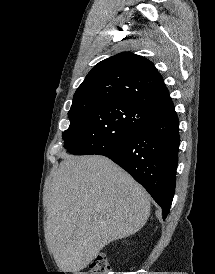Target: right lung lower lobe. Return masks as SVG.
I'll return each mask as SVG.
<instances>
[{
    "label": "right lung lower lobe",
    "instance_id": "1",
    "mask_svg": "<svg viewBox=\"0 0 215 274\" xmlns=\"http://www.w3.org/2000/svg\"><path fill=\"white\" fill-rule=\"evenodd\" d=\"M179 143V120L172 108L154 114L124 141L96 155L110 158L139 182L165 219L175 192Z\"/></svg>",
    "mask_w": 215,
    "mask_h": 274
}]
</instances>
